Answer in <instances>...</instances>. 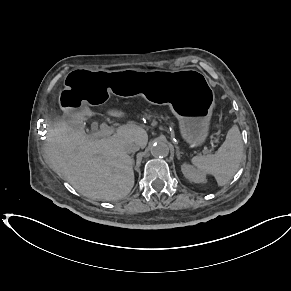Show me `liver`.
<instances>
[{
  "label": "liver",
  "instance_id": "liver-1",
  "mask_svg": "<svg viewBox=\"0 0 291 291\" xmlns=\"http://www.w3.org/2000/svg\"><path fill=\"white\" fill-rule=\"evenodd\" d=\"M107 114L125 116L120 110H108ZM72 117L79 126L57 120L48 128L46 153L54 168L88 198L113 201L127 196L134 186V171L125 145L137 143L145 148L147 132L139 125L125 124L115 134L96 139L82 126L85 113Z\"/></svg>",
  "mask_w": 291,
  "mask_h": 291
}]
</instances>
